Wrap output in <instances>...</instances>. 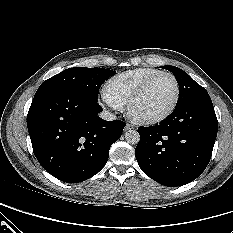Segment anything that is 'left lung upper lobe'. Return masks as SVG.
Masks as SVG:
<instances>
[{
    "instance_id": "5c2ea615",
    "label": "left lung upper lobe",
    "mask_w": 233,
    "mask_h": 233,
    "mask_svg": "<svg viewBox=\"0 0 233 233\" xmlns=\"http://www.w3.org/2000/svg\"><path fill=\"white\" fill-rule=\"evenodd\" d=\"M162 68L171 71L179 84V99L177 105L189 100L195 95L207 92L182 69L169 65L162 66Z\"/></svg>"
}]
</instances>
